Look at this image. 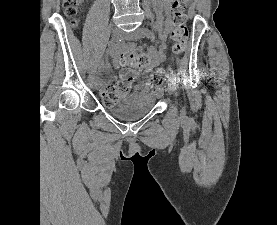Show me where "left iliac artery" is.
Returning a JSON list of instances; mask_svg holds the SVG:
<instances>
[{
	"instance_id": "obj_1",
	"label": "left iliac artery",
	"mask_w": 277,
	"mask_h": 225,
	"mask_svg": "<svg viewBox=\"0 0 277 225\" xmlns=\"http://www.w3.org/2000/svg\"><path fill=\"white\" fill-rule=\"evenodd\" d=\"M143 31H144V35L147 37V38H149V39H151V40H154L155 39V34L150 30V29H148L147 27H145V28H143ZM171 78H173L175 81H179V78L177 77V75L176 74H174V73H172L171 74Z\"/></svg>"
}]
</instances>
